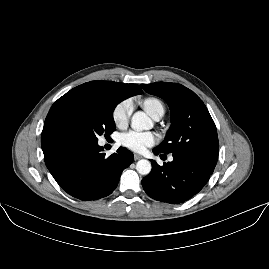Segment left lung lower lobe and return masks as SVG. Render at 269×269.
I'll return each instance as SVG.
<instances>
[{"instance_id":"left-lung-lower-lobe-1","label":"left lung lower lobe","mask_w":269,"mask_h":269,"mask_svg":"<svg viewBox=\"0 0 269 269\" xmlns=\"http://www.w3.org/2000/svg\"><path fill=\"white\" fill-rule=\"evenodd\" d=\"M153 152H161L157 147ZM173 161L159 166L154 160L151 172L143 178L142 186L151 198L179 204L197 194L207 183L215 165L197 162L187 157L173 154Z\"/></svg>"}]
</instances>
